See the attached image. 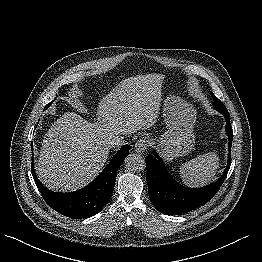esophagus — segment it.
<instances>
[{"label": "esophagus", "instance_id": "obj_1", "mask_svg": "<svg viewBox=\"0 0 262 262\" xmlns=\"http://www.w3.org/2000/svg\"><path fill=\"white\" fill-rule=\"evenodd\" d=\"M150 141L147 137L140 138L135 144V151L137 153H144L149 148Z\"/></svg>", "mask_w": 262, "mask_h": 262}]
</instances>
